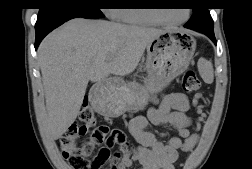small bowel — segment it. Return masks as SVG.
<instances>
[{
    "mask_svg": "<svg viewBox=\"0 0 252 169\" xmlns=\"http://www.w3.org/2000/svg\"><path fill=\"white\" fill-rule=\"evenodd\" d=\"M156 106L146 110V115H133L129 122V131L139 147L131 157L124 152L117 157L114 169H128L136 161L139 169H174L178 151H190L195 146L197 135L189 130L191 119L187 115L189 99L181 92H174L154 98ZM173 127L177 135L172 136L167 144L160 142L148 130L150 125ZM102 142L92 136L91 144Z\"/></svg>",
    "mask_w": 252,
    "mask_h": 169,
    "instance_id": "small-bowel-1",
    "label": "small bowel"
}]
</instances>
